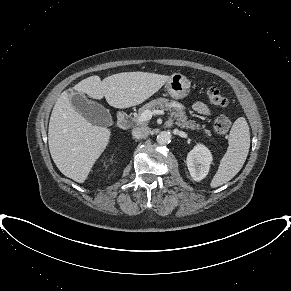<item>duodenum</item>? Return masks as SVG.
Returning <instances> with one entry per match:
<instances>
[{"label":"duodenum","instance_id":"duodenum-1","mask_svg":"<svg viewBox=\"0 0 291 291\" xmlns=\"http://www.w3.org/2000/svg\"><path fill=\"white\" fill-rule=\"evenodd\" d=\"M118 122L123 128H128L129 126V120L124 112L119 113Z\"/></svg>","mask_w":291,"mask_h":291}]
</instances>
